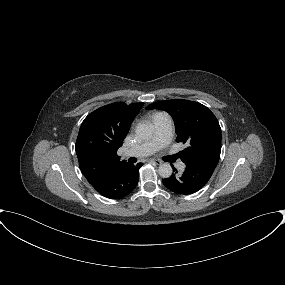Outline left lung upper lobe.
Segmentation results:
<instances>
[{"label": "left lung upper lobe", "mask_w": 285, "mask_h": 285, "mask_svg": "<svg viewBox=\"0 0 285 285\" xmlns=\"http://www.w3.org/2000/svg\"><path fill=\"white\" fill-rule=\"evenodd\" d=\"M146 109H161L172 116L177 134L176 141L188 145L180 152L184 163L203 159L219 161L221 128L209 108L198 102L173 99L154 102Z\"/></svg>", "instance_id": "5c2ea615"}]
</instances>
